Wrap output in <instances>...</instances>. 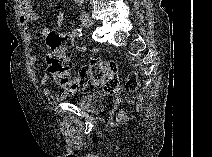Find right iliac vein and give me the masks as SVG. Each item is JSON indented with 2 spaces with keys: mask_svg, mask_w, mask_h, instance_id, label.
Masks as SVG:
<instances>
[{
  "mask_svg": "<svg viewBox=\"0 0 212 157\" xmlns=\"http://www.w3.org/2000/svg\"><path fill=\"white\" fill-rule=\"evenodd\" d=\"M80 20L85 27H91L93 25V20L86 13L80 15Z\"/></svg>",
  "mask_w": 212,
  "mask_h": 157,
  "instance_id": "63e3f726",
  "label": "right iliac vein"
}]
</instances>
